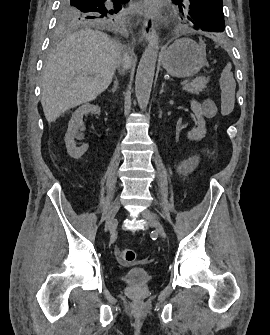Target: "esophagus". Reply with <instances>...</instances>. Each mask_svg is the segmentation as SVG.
Here are the masks:
<instances>
[{"label":"esophagus","instance_id":"esophagus-1","mask_svg":"<svg viewBox=\"0 0 270 335\" xmlns=\"http://www.w3.org/2000/svg\"><path fill=\"white\" fill-rule=\"evenodd\" d=\"M142 37L147 41L152 40L155 37L154 22L152 16H147L142 22L141 29Z\"/></svg>","mask_w":270,"mask_h":335}]
</instances>
